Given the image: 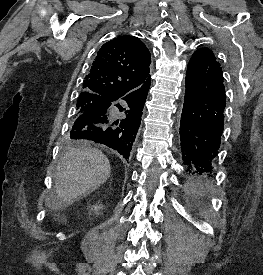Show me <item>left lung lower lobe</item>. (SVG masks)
I'll list each match as a JSON object with an SVG mask.
<instances>
[{"label": "left lung lower lobe", "mask_w": 263, "mask_h": 275, "mask_svg": "<svg viewBox=\"0 0 263 275\" xmlns=\"http://www.w3.org/2000/svg\"><path fill=\"white\" fill-rule=\"evenodd\" d=\"M185 83L180 121L182 164L191 174L212 173L223 132L226 94L222 70L211 50L193 54Z\"/></svg>", "instance_id": "obj_1"}]
</instances>
